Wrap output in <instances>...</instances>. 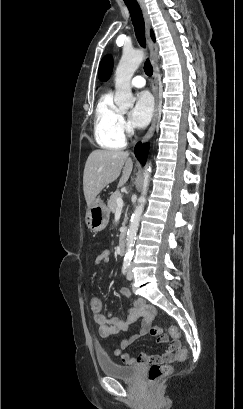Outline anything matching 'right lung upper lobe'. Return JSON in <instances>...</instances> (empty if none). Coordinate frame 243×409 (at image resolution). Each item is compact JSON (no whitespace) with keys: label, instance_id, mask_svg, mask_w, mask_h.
Returning <instances> with one entry per match:
<instances>
[{"label":"right lung upper lobe","instance_id":"cb5924a9","mask_svg":"<svg viewBox=\"0 0 243 409\" xmlns=\"http://www.w3.org/2000/svg\"><path fill=\"white\" fill-rule=\"evenodd\" d=\"M151 36L154 40L153 31H151ZM113 68V60L111 56H105L99 66L98 77L101 81H107L111 75Z\"/></svg>","mask_w":243,"mask_h":409}]
</instances>
